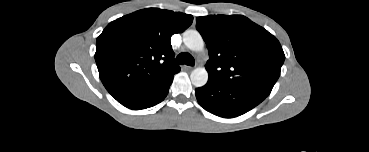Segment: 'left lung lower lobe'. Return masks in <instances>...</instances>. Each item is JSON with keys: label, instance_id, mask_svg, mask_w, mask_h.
<instances>
[{"label": "left lung lower lobe", "instance_id": "left-lung-lower-lobe-1", "mask_svg": "<svg viewBox=\"0 0 369 152\" xmlns=\"http://www.w3.org/2000/svg\"><path fill=\"white\" fill-rule=\"evenodd\" d=\"M198 103L208 112L224 118L240 116L260 104L267 96L252 90L231 87L208 79L195 90Z\"/></svg>", "mask_w": 369, "mask_h": 152}]
</instances>
